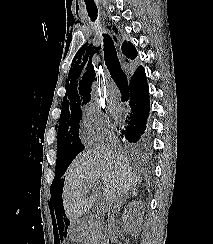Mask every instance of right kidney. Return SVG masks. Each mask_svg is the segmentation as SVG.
Returning <instances> with one entry per match:
<instances>
[{
  "label": "right kidney",
  "instance_id": "obj_1",
  "mask_svg": "<svg viewBox=\"0 0 213 244\" xmlns=\"http://www.w3.org/2000/svg\"><path fill=\"white\" fill-rule=\"evenodd\" d=\"M143 203L141 201H136L130 204L129 210H126L123 216V225L125 227L135 228L140 224V216L137 212L138 208H142ZM133 210V212H132Z\"/></svg>",
  "mask_w": 213,
  "mask_h": 244
}]
</instances>
